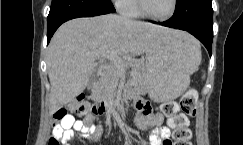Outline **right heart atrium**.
Masks as SVG:
<instances>
[{
  "label": "right heart atrium",
  "instance_id": "1",
  "mask_svg": "<svg viewBox=\"0 0 243 145\" xmlns=\"http://www.w3.org/2000/svg\"><path fill=\"white\" fill-rule=\"evenodd\" d=\"M115 2V4L117 5L118 8H122L128 0H113Z\"/></svg>",
  "mask_w": 243,
  "mask_h": 145
}]
</instances>
